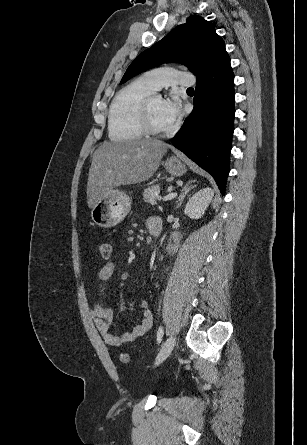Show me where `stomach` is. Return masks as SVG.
I'll return each instance as SVG.
<instances>
[{"label":"stomach","mask_w":307,"mask_h":445,"mask_svg":"<svg viewBox=\"0 0 307 445\" xmlns=\"http://www.w3.org/2000/svg\"><path fill=\"white\" fill-rule=\"evenodd\" d=\"M165 168L173 176H182L187 168L179 158L171 156L165 162ZM131 198L123 190H112L111 194L100 198L99 202L91 210V218L95 225L103 229H112L124 220L126 214L131 210Z\"/></svg>","instance_id":"0dacf381"}]
</instances>
